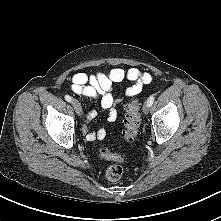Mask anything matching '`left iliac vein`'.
Here are the masks:
<instances>
[{
	"label": "left iliac vein",
	"mask_w": 221,
	"mask_h": 221,
	"mask_svg": "<svg viewBox=\"0 0 221 221\" xmlns=\"http://www.w3.org/2000/svg\"><path fill=\"white\" fill-rule=\"evenodd\" d=\"M149 105H148V103H145L144 105H143V108H142V110H143V112L145 113V114H148V112H149Z\"/></svg>",
	"instance_id": "obj_1"
}]
</instances>
